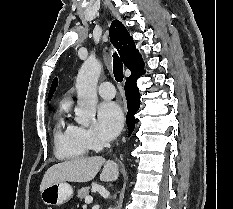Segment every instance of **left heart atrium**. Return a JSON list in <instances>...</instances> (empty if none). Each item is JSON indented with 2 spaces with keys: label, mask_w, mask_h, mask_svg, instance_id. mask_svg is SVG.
<instances>
[{
  "label": "left heart atrium",
  "mask_w": 233,
  "mask_h": 209,
  "mask_svg": "<svg viewBox=\"0 0 233 209\" xmlns=\"http://www.w3.org/2000/svg\"><path fill=\"white\" fill-rule=\"evenodd\" d=\"M123 123V112L117 103L105 101L99 105L96 129L102 138L106 140L113 139L122 129Z\"/></svg>",
  "instance_id": "39dd6f15"
}]
</instances>
